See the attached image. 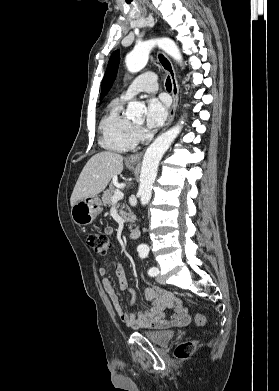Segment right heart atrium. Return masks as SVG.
<instances>
[{
    "label": "right heart atrium",
    "instance_id": "right-heart-atrium-1",
    "mask_svg": "<svg viewBox=\"0 0 279 391\" xmlns=\"http://www.w3.org/2000/svg\"><path fill=\"white\" fill-rule=\"evenodd\" d=\"M134 133L136 138H139L142 135V131L139 127H134Z\"/></svg>",
    "mask_w": 279,
    "mask_h": 391
}]
</instances>
